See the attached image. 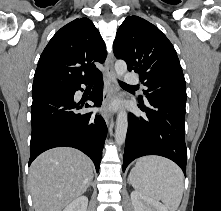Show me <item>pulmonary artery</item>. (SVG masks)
<instances>
[{"instance_id":"obj_1","label":"pulmonary artery","mask_w":221,"mask_h":211,"mask_svg":"<svg viewBox=\"0 0 221 211\" xmlns=\"http://www.w3.org/2000/svg\"><path fill=\"white\" fill-rule=\"evenodd\" d=\"M125 81L130 85H137L139 83L138 77L133 73H127L125 75Z\"/></svg>"}]
</instances>
